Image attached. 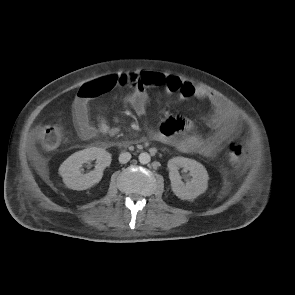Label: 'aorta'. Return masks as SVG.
Returning <instances> with one entry per match:
<instances>
[{
	"label": "aorta",
	"instance_id": "obj_1",
	"mask_svg": "<svg viewBox=\"0 0 295 295\" xmlns=\"http://www.w3.org/2000/svg\"><path fill=\"white\" fill-rule=\"evenodd\" d=\"M150 160H151V157L147 152H143L139 155V162L141 164H148Z\"/></svg>",
	"mask_w": 295,
	"mask_h": 295
}]
</instances>
